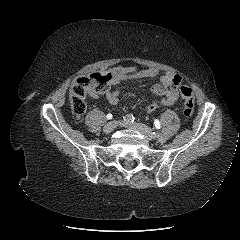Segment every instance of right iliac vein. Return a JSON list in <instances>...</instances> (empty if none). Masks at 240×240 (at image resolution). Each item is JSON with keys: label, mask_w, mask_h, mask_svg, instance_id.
Listing matches in <instances>:
<instances>
[{"label": "right iliac vein", "mask_w": 240, "mask_h": 240, "mask_svg": "<svg viewBox=\"0 0 240 240\" xmlns=\"http://www.w3.org/2000/svg\"><path fill=\"white\" fill-rule=\"evenodd\" d=\"M119 123L120 122L115 120L108 122L104 127V131L106 133H111L118 126Z\"/></svg>", "instance_id": "63e3f726"}]
</instances>
